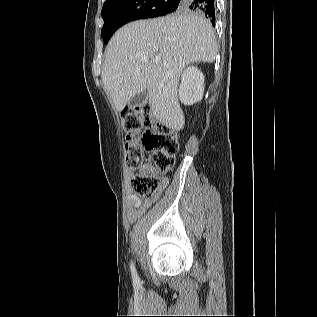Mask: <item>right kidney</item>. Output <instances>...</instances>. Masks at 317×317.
<instances>
[{
    "label": "right kidney",
    "mask_w": 317,
    "mask_h": 317,
    "mask_svg": "<svg viewBox=\"0 0 317 317\" xmlns=\"http://www.w3.org/2000/svg\"><path fill=\"white\" fill-rule=\"evenodd\" d=\"M204 93V76L197 67H188L181 76L179 98L185 105L200 101Z\"/></svg>",
    "instance_id": "right-kidney-1"
}]
</instances>
